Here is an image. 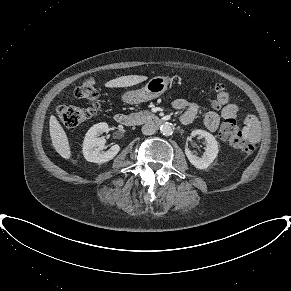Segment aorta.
<instances>
[{
  "instance_id": "762f6f07",
  "label": "aorta",
  "mask_w": 291,
  "mask_h": 291,
  "mask_svg": "<svg viewBox=\"0 0 291 291\" xmlns=\"http://www.w3.org/2000/svg\"><path fill=\"white\" fill-rule=\"evenodd\" d=\"M160 130L163 135L169 136L172 135L174 128L171 123L165 122L160 126Z\"/></svg>"
}]
</instances>
